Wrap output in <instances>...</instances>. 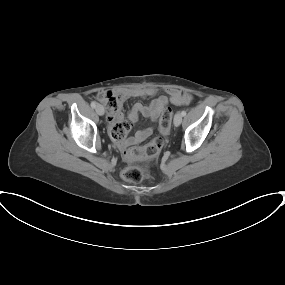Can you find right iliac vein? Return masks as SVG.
<instances>
[{"instance_id":"63e3f726","label":"right iliac vein","mask_w":285,"mask_h":285,"mask_svg":"<svg viewBox=\"0 0 285 285\" xmlns=\"http://www.w3.org/2000/svg\"><path fill=\"white\" fill-rule=\"evenodd\" d=\"M96 112H97L98 115L102 116V115H104L105 110H104L103 106L98 105L96 107Z\"/></svg>"}]
</instances>
